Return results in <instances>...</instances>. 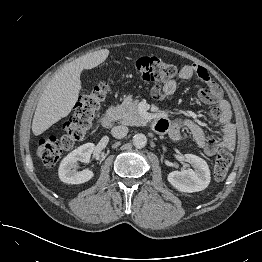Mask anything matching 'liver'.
<instances>
[{"label":"liver","mask_w":262,"mask_h":262,"mask_svg":"<svg viewBox=\"0 0 262 262\" xmlns=\"http://www.w3.org/2000/svg\"><path fill=\"white\" fill-rule=\"evenodd\" d=\"M108 49L98 50L68 63L58 71L43 90L32 122V132L38 136L60 119L66 117L78 100L81 90L80 74L103 63Z\"/></svg>","instance_id":"1"}]
</instances>
